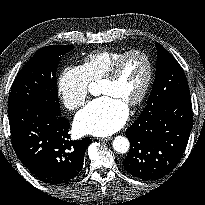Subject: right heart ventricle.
<instances>
[{
  "label": "right heart ventricle",
  "mask_w": 205,
  "mask_h": 205,
  "mask_svg": "<svg viewBox=\"0 0 205 205\" xmlns=\"http://www.w3.org/2000/svg\"><path fill=\"white\" fill-rule=\"evenodd\" d=\"M125 51L100 50L85 56L81 68L89 83L99 81Z\"/></svg>",
  "instance_id": "obj_1"
}]
</instances>
